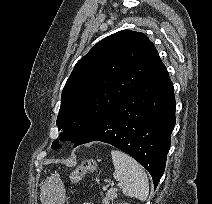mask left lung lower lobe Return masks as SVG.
Returning a JSON list of instances; mask_svg holds the SVG:
<instances>
[{
	"instance_id": "0a47b994",
	"label": "left lung lower lobe",
	"mask_w": 212,
	"mask_h": 204,
	"mask_svg": "<svg viewBox=\"0 0 212 204\" xmlns=\"http://www.w3.org/2000/svg\"><path fill=\"white\" fill-rule=\"evenodd\" d=\"M173 84L164 64L109 109L74 145L102 141L131 155L160 181L175 126Z\"/></svg>"
}]
</instances>
